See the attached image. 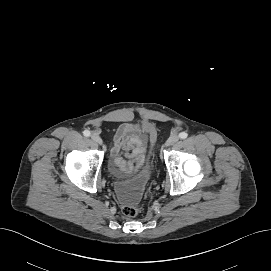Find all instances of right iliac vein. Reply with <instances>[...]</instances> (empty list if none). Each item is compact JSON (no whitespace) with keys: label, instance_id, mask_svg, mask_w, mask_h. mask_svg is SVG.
I'll return each mask as SVG.
<instances>
[{"label":"right iliac vein","instance_id":"1","mask_svg":"<svg viewBox=\"0 0 271 271\" xmlns=\"http://www.w3.org/2000/svg\"><path fill=\"white\" fill-rule=\"evenodd\" d=\"M91 140L100 145L103 143L102 138L96 133L91 134Z\"/></svg>","mask_w":271,"mask_h":271}]
</instances>
